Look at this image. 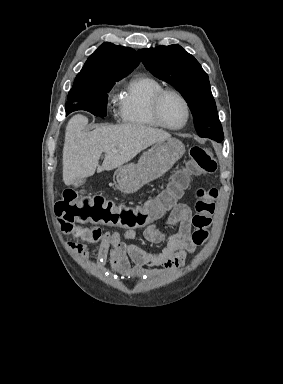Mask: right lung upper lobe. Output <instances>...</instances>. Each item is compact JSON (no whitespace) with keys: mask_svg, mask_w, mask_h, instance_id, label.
<instances>
[{"mask_svg":"<svg viewBox=\"0 0 283 384\" xmlns=\"http://www.w3.org/2000/svg\"><path fill=\"white\" fill-rule=\"evenodd\" d=\"M138 64L139 58L134 49L103 43L88 58L72 89L115 83L131 73Z\"/></svg>","mask_w":283,"mask_h":384,"instance_id":"cb5924a9","label":"right lung upper lobe"}]
</instances>
